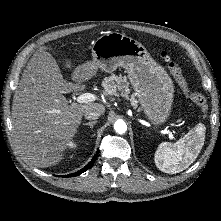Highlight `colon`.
<instances>
[{
  "mask_svg": "<svg viewBox=\"0 0 221 221\" xmlns=\"http://www.w3.org/2000/svg\"><path fill=\"white\" fill-rule=\"evenodd\" d=\"M161 58L166 63L170 73L179 84L183 92L199 107L201 112L205 115L208 110V103L206 97L199 92L192 91L185 79L180 66L172 60L167 52L160 53Z\"/></svg>",
  "mask_w": 221,
  "mask_h": 221,
  "instance_id": "colon-1",
  "label": "colon"
}]
</instances>
